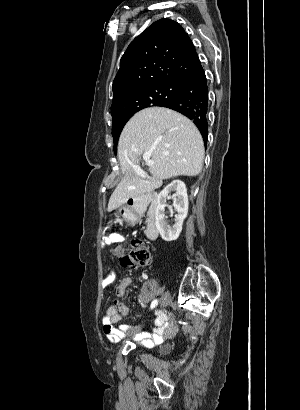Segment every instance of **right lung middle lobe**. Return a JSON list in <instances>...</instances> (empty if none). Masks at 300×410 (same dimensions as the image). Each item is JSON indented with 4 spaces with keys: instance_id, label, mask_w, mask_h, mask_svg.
Returning <instances> with one entry per match:
<instances>
[{
    "instance_id": "dd1d6c3e",
    "label": "right lung middle lobe",
    "mask_w": 300,
    "mask_h": 410,
    "mask_svg": "<svg viewBox=\"0 0 300 410\" xmlns=\"http://www.w3.org/2000/svg\"><path fill=\"white\" fill-rule=\"evenodd\" d=\"M183 84H163L140 89L132 93L124 102L120 115L113 118L112 135L114 151L117 150L118 139L126 122L139 110L150 106H161L170 101L182 88Z\"/></svg>"
}]
</instances>
